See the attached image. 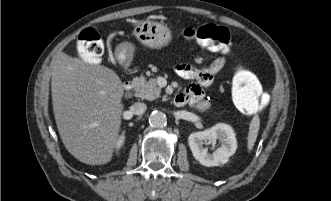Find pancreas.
Wrapping results in <instances>:
<instances>
[{"label":"pancreas","mask_w":331,"mask_h":201,"mask_svg":"<svg viewBox=\"0 0 331 201\" xmlns=\"http://www.w3.org/2000/svg\"><path fill=\"white\" fill-rule=\"evenodd\" d=\"M135 85V95L142 99L154 100L160 97L161 89L157 86V81L155 78H151L146 81L145 77H136L133 79ZM210 107V103L203 101L198 104V109L200 111H205Z\"/></svg>","instance_id":"obj_1"}]
</instances>
